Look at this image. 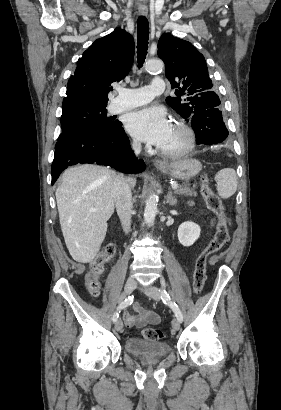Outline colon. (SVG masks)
I'll use <instances>...</instances> for the list:
<instances>
[{"label": "colon", "mask_w": 281, "mask_h": 410, "mask_svg": "<svg viewBox=\"0 0 281 410\" xmlns=\"http://www.w3.org/2000/svg\"><path fill=\"white\" fill-rule=\"evenodd\" d=\"M201 192L207 208L218 216L219 222L213 239L196 258L193 273V290L195 294H200L204 288L209 257L221 250L229 241V218L223 209L220 197L212 189L207 175L202 178ZM116 252V244H107L100 249L98 255L91 262L89 271L85 275V285L91 296H99L101 289L100 276L103 273L104 265L113 260ZM143 336L147 340L158 341L164 337V333L156 328H145Z\"/></svg>", "instance_id": "colon-1"}]
</instances>
